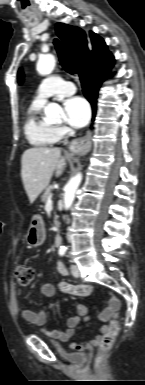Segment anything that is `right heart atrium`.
<instances>
[{"instance_id":"1","label":"right heart atrium","mask_w":145,"mask_h":385,"mask_svg":"<svg viewBox=\"0 0 145 385\" xmlns=\"http://www.w3.org/2000/svg\"><path fill=\"white\" fill-rule=\"evenodd\" d=\"M55 130L59 138L63 137L67 132L65 127H56Z\"/></svg>"}]
</instances>
